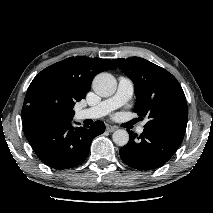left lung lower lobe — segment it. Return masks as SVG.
<instances>
[{"label":"left lung lower lobe","instance_id":"obj_1","mask_svg":"<svg viewBox=\"0 0 213 213\" xmlns=\"http://www.w3.org/2000/svg\"><path fill=\"white\" fill-rule=\"evenodd\" d=\"M129 132V142L120 149L125 164L138 170H152L165 164L181 141L160 133L143 130L140 136Z\"/></svg>","mask_w":213,"mask_h":213}]
</instances>
